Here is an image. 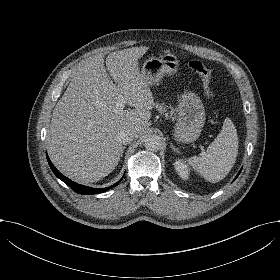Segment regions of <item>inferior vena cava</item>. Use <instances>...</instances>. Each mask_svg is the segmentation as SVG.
<instances>
[{
    "label": "inferior vena cava",
    "mask_w": 280,
    "mask_h": 280,
    "mask_svg": "<svg viewBox=\"0 0 280 280\" xmlns=\"http://www.w3.org/2000/svg\"><path fill=\"white\" fill-rule=\"evenodd\" d=\"M134 137V132H131L129 130H122L117 133L116 140L119 141L121 144H129L133 141Z\"/></svg>",
    "instance_id": "1"
}]
</instances>
